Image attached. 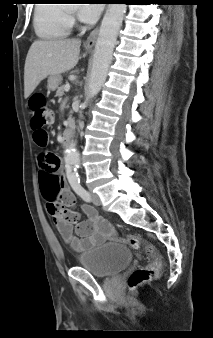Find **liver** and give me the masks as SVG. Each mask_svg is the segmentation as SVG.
<instances>
[{"mask_svg": "<svg viewBox=\"0 0 213 338\" xmlns=\"http://www.w3.org/2000/svg\"><path fill=\"white\" fill-rule=\"evenodd\" d=\"M81 41L38 40L31 45L24 67V97L27 99L47 76L73 69L78 63Z\"/></svg>", "mask_w": 213, "mask_h": 338, "instance_id": "liver-1", "label": "liver"}]
</instances>
